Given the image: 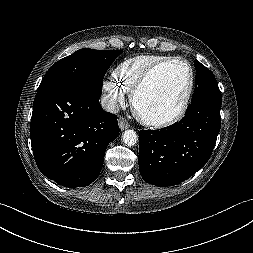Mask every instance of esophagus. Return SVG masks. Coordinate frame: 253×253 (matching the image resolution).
Returning <instances> with one entry per match:
<instances>
[{"instance_id":"34e87169","label":"esophagus","mask_w":253,"mask_h":253,"mask_svg":"<svg viewBox=\"0 0 253 253\" xmlns=\"http://www.w3.org/2000/svg\"><path fill=\"white\" fill-rule=\"evenodd\" d=\"M118 124H119L120 130H122V131L129 128V124L127 123V121L124 118H119Z\"/></svg>"}]
</instances>
